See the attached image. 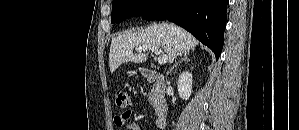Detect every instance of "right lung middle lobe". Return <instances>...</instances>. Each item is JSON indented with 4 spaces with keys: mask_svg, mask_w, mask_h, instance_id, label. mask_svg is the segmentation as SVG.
<instances>
[{
    "mask_svg": "<svg viewBox=\"0 0 299 130\" xmlns=\"http://www.w3.org/2000/svg\"><path fill=\"white\" fill-rule=\"evenodd\" d=\"M157 0H113L112 23H120L127 18L142 16Z\"/></svg>",
    "mask_w": 299,
    "mask_h": 130,
    "instance_id": "dd1d6c3e",
    "label": "right lung middle lobe"
}]
</instances>
